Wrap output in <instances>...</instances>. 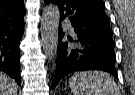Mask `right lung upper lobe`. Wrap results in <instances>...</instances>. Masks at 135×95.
Here are the masks:
<instances>
[{
	"label": "right lung upper lobe",
	"instance_id": "obj_1",
	"mask_svg": "<svg viewBox=\"0 0 135 95\" xmlns=\"http://www.w3.org/2000/svg\"><path fill=\"white\" fill-rule=\"evenodd\" d=\"M24 14L23 0H0V20H17Z\"/></svg>",
	"mask_w": 135,
	"mask_h": 95
}]
</instances>
